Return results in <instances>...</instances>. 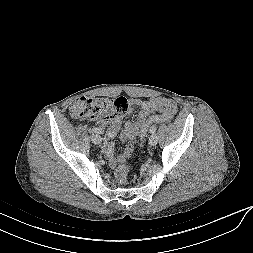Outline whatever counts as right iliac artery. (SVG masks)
<instances>
[{
    "mask_svg": "<svg viewBox=\"0 0 253 253\" xmlns=\"http://www.w3.org/2000/svg\"><path fill=\"white\" fill-rule=\"evenodd\" d=\"M92 131L95 132V133H102L101 129L95 128V127L92 129Z\"/></svg>",
    "mask_w": 253,
    "mask_h": 253,
    "instance_id": "right-iliac-artery-1",
    "label": "right iliac artery"
}]
</instances>
